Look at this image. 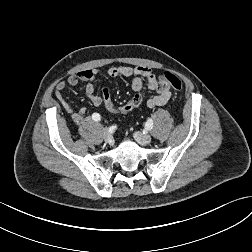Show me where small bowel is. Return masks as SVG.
Instances as JSON below:
<instances>
[{
    "label": "small bowel",
    "mask_w": 252,
    "mask_h": 252,
    "mask_svg": "<svg viewBox=\"0 0 252 252\" xmlns=\"http://www.w3.org/2000/svg\"><path fill=\"white\" fill-rule=\"evenodd\" d=\"M108 75L113 78L128 77L131 78L132 89L136 92L140 91L143 87V81L145 80L149 89L155 92L146 100V106L148 108H155L164 106L167 104L171 97V89L168 83L159 79L150 68L137 66H115L111 67L107 71ZM97 76V71L92 69L82 70L76 74L68 77L65 82H60L55 88V97L61 104V106L71 114V119L74 124L80 125L84 121L86 108L81 107L78 110H74L72 106L63 97V91L66 86L74 87L79 81H85V95L94 106L101 105V98L95 91L94 81Z\"/></svg>",
    "instance_id": "obj_1"
}]
</instances>
